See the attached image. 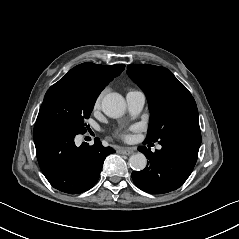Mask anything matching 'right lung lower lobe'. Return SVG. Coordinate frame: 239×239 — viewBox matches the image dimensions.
Here are the masks:
<instances>
[{
	"instance_id": "obj_1",
	"label": "right lung lower lobe",
	"mask_w": 239,
	"mask_h": 239,
	"mask_svg": "<svg viewBox=\"0 0 239 239\" xmlns=\"http://www.w3.org/2000/svg\"><path fill=\"white\" fill-rule=\"evenodd\" d=\"M77 134L69 126L53 121L35 124L33 131L44 176L55 189L68 194L92 188L106 156L115 152L111 147H103L99 140L92 146L83 143L77 147L74 143Z\"/></svg>"
}]
</instances>
